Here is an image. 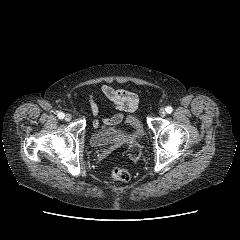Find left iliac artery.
<instances>
[{
  "instance_id": "obj_1",
  "label": "left iliac artery",
  "mask_w": 240,
  "mask_h": 240,
  "mask_svg": "<svg viewBox=\"0 0 240 240\" xmlns=\"http://www.w3.org/2000/svg\"><path fill=\"white\" fill-rule=\"evenodd\" d=\"M165 110H166V112L167 113H172V111H173V108L171 107V106H167L166 108H165Z\"/></svg>"
}]
</instances>
